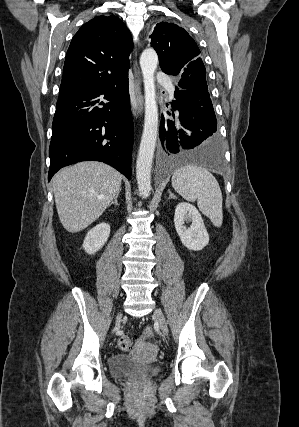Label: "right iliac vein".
<instances>
[{
	"instance_id": "1",
	"label": "right iliac vein",
	"mask_w": 299,
	"mask_h": 427,
	"mask_svg": "<svg viewBox=\"0 0 299 427\" xmlns=\"http://www.w3.org/2000/svg\"><path fill=\"white\" fill-rule=\"evenodd\" d=\"M121 319H122V313H119L116 319V327L119 326Z\"/></svg>"
}]
</instances>
